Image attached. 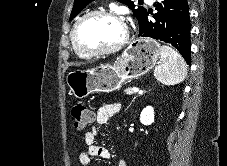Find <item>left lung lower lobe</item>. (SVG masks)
I'll return each instance as SVG.
<instances>
[{"mask_svg": "<svg viewBox=\"0 0 227 166\" xmlns=\"http://www.w3.org/2000/svg\"><path fill=\"white\" fill-rule=\"evenodd\" d=\"M155 21L146 12L139 25L138 37H152L172 44L190 64V18L187 0H158Z\"/></svg>", "mask_w": 227, "mask_h": 166, "instance_id": "obj_1", "label": "left lung lower lobe"}]
</instances>
